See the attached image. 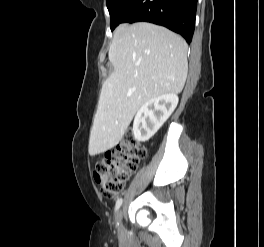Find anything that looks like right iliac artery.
<instances>
[{
  "instance_id": "82829eb1",
  "label": "right iliac artery",
  "mask_w": 264,
  "mask_h": 247,
  "mask_svg": "<svg viewBox=\"0 0 264 247\" xmlns=\"http://www.w3.org/2000/svg\"><path fill=\"white\" fill-rule=\"evenodd\" d=\"M122 198H119L117 201H116V205H115V212L118 211V209L120 208V206L122 205ZM117 225H119V223L117 222Z\"/></svg>"
}]
</instances>
